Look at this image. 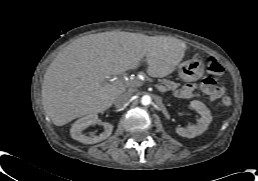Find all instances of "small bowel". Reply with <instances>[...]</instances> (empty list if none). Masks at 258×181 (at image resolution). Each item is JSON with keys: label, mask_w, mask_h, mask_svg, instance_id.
<instances>
[{"label": "small bowel", "mask_w": 258, "mask_h": 181, "mask_svg": "<svg viewBox=\"0 0 258 181\" xmlns=\"http://www.w3.org/2000/svg\"><path fill=\"white\" fill-rule=\"evenodd\" d=\"M195 85H186L176 91V96L178 98L189 99L196 96ZM200 90L207 94L209 101L216 102L224 93V87L217 85L213 78L207 77L200 83Z\"/></svg>", "instance_id": "1"}]
</instances>
